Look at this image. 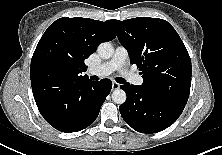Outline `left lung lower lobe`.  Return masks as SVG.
Returning <instances> with one entry per match:
<instances>
[{
  "instance_id": "0a47b994",
  "label": "left lung lower lobe",
  "mask_w": 222,
  "mask_h": 155,
  "mask_svg": "<svg viewBox=\"0 0 222 155\" xmlns=\"http://www.w3.org/2000/svg\"><path fill=\"white\" fill-rule=\"evenodd\" d=\"M127 94L119 106L124 121L140 133H157L171 126L186 104L127 83L120 86Z\"/></svg>"
}]
</instances>
